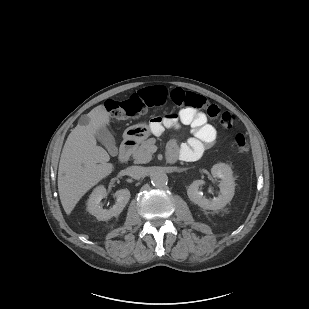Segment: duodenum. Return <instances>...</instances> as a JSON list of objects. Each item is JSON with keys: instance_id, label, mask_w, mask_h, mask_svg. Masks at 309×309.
<instances>
[{"instance_id": "duodenum-1", "label": "duodenum", "mask_w": 309, "mask_h": 309, "mask_svg": "<svg viewBox=\"0 0 309 309\" xmlns=\"http://www.w3.org/2000/svg\"><path fill=\"white\" fill-rule=\"evenodd\" d=\"M135 147L136 140L133 138H127L120 147L118 154L119 161L125 162L130 157Z\"/></svg>"}]
</instances>
